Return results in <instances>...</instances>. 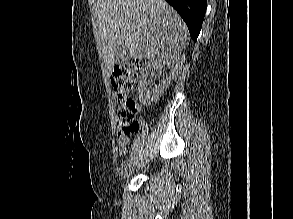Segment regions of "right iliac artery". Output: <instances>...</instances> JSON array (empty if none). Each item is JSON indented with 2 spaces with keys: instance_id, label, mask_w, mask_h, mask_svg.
Here are the masks:
<instances>
[{
  "instance_id": "obj_1",
  "label": "right iliac artery",
  "mask_w": 293,
  "mask_h": 219,
  "mask_svg": "<svg viewBox=\"0 0 293 219\" xmlns=\"http://www.w3.org/2000/svg\"><path fill=\"white\" fill-rule=\"evenodd\" d=\"M136 152H137V148H133L132 152H131V154L129 156L128 162L131 161L135 157Z\"/></svg>"
}]
</instances>
